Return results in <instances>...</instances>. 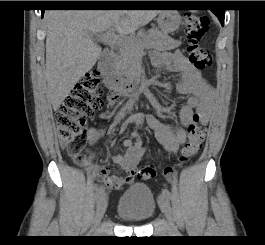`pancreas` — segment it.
I'll list each match as a JSON object with an SVG mask.
<instances>
[{
    "instance_id": "pancreas-1",
    "label": "pancreas",
    "mask_w": 265,
    "mask_h": 245,
    "mask_svg": "<svg viewBox=\"0 0 265 245\" xmlns=\"http://www.w3.org/2000/svg\"><path fill=\"white\" fill-rule=\"evenodd\" d=\"M130 40V43L122 45L120 55L116 61V69L128 81H132L137 74V62L143 47L165 51L181 45L180 41L174 40L157 29H150L147 33L140 32Z\"/></svg>"
}]
</instances>
